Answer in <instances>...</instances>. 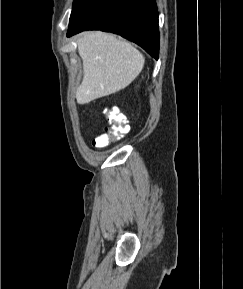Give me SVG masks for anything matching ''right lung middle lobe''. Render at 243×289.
<instances>
[{
	"label": "right lung middle lobe",
	"instance_id": "right-lung-middle-lobe-1",
	"mask_svg": "<svg viewBox=\"0 0 243 289\" xmlns=\"http://www.w3.org/2000/svg\"><path fill=\"white\" fill-rule=\"evenodd\" d=\"M81 2V0H75L74 3H73V10L72 12L76 9V7L79 5V3Z\"/></svg>",
	"mask_w": 243,
	"mask_h": 289
}]
</instances>
